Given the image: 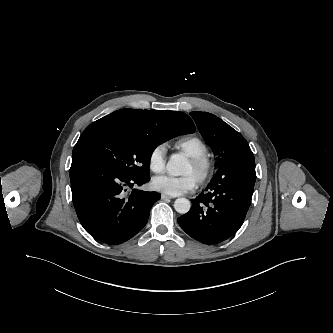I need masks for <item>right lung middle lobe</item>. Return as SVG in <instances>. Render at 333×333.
<instances>
[{"instance_id": "dd1d6c3e", "label": "right lung middle lobe", "mask_w": 333, "mask_h": 333, "mask_svg": "<svg viewBox=\"0 0 333 333\" xmlns=\"http://www.w3.org/2000/svg\"><path fill=\"white\" fill-rule=\"evenodd\" d=\"M170 137H157L123 127L86 128L72 154L94 157L114 171L137 178L149 177L150 157Z\"/></svg>"}]
</instances>
